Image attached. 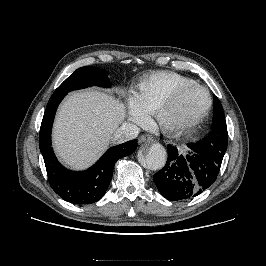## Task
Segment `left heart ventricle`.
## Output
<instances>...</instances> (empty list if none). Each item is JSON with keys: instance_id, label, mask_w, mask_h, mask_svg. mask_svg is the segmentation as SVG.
Returning <instances> with one entry per match:
<instances>
[{"instance_id": "obj_1", "label": "left heart ventricle", "mask_w": 266, "mask_h": 266, "mask_svg": "<svg viewBox=\"0 0 266 266\" xmlns=\"http://www.w3.org/2000/svg\"><path fill=\"white\" fill-rule=\"evenodd\" d=\"M206 104L205 92L198 88H191L180 97L168 118L171 121L193 118L204 110Z\"/></svg>"}]
</instances>
